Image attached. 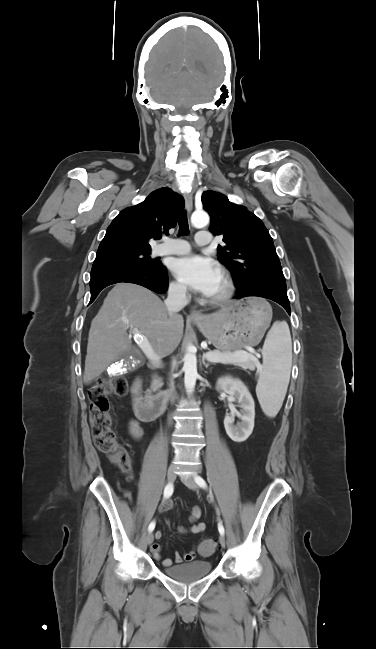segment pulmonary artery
Returning a JSON list of instances; mask_svg holds the SVG:
<instances>
[{"mask_svg": "<svg viewBox=\"0 0 376 649\" xmlns=\"http://www.w3.org/2000/svg\"><path fill=\"white\" fill-rule=\"evenodd\" d=\"M195 240L198 246H208L211 243V236L206 231H200L197 233ZM189 251L190 245L187 241L182 239H172L156 246L154 248V255H181L186 254Z\"/></svg>", "mask_w": 376, "mask_h": 649, "instance_id": "obj_1", "label": "pulmonary artery"}]
</instances>
